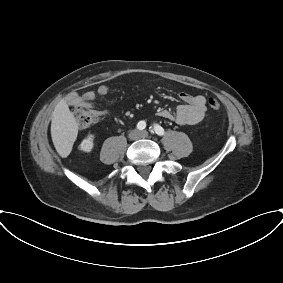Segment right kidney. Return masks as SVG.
Masks as SVG:
<instances>
[{"instance_id": "1", "label": "right kidney", "mask_w": 283, "mask_h": 283, "mask_svg": "<svg viewBox=\"0 0 283 283\" xmlns=\"http://www.w3.org/2000/svg\"><path fill=\"white\" fill-rule=\"evenodd\" d=\"M94 135L90 134L88 135L80 144L79 148L80 150L84 152H90L93 149L94 143Z\"/></svg>"}]
</instances>
